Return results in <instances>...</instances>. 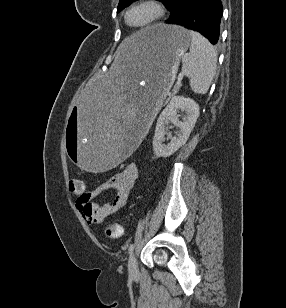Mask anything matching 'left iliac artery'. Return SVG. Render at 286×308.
<instances>
[{
    "instance_id": "obj_1",
    "label": "left iliac artery",
    "mask_w": 286,
    "mask_h": 308,
    "mask_svg": "<svg viewBox=\"0 0 286 308\" xmlns=\"http://www.w3.org/2000/svg\"><path fill=\"white\" fill-rule=\"evenodd\" d=\"M134 247H135V245H134V244H131V245L129 246L128 252H129V253H132L133 250H134Z\"/></svg>"
}]
</instances>
